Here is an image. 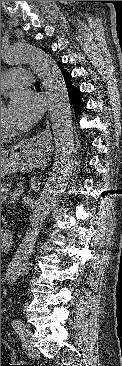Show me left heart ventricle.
<instances>
[{
    "instance_id": "1",
    "label": "left heart ventricle",
    "mask_w": 122,
    "mask_h": 366,
    "mask_svg": "<svg viewBox=\"0 0 122 366\" xmlns=\"http://www.w3.org/2000/svg\"><path fill=\"white\" fill-rule=\"evenodd\" d=\"M5 112H6V108L1 105V132L12 133V132H14V130L7 123Z\"/></svg>"
}]
</instances>
